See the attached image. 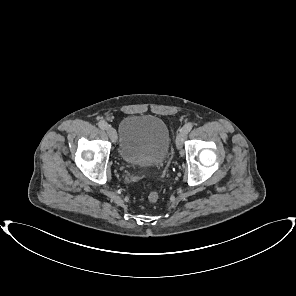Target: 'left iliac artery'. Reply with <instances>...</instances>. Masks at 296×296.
Listing matches in <instances>:
<instances>
[{
    "instance_id": "left-iliac-artery-1",
    "label": "left iliac artery",
    "mask_w": 296,
    "mask_h": 296,
    "mask_svg": "<svg viewBox=\"0 0 296 296\" xmlns=\"http://www.w3.org/2000/svg\"><path fill=\"white\" fill-rule=\"evenodd\" d=\"M193 127L192 123H187L184 125V127L182 128L183 130H185L186 132H189Z\"/></svg>"
}]
</instances>
